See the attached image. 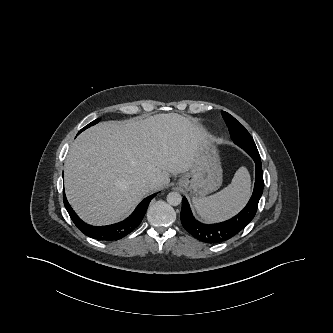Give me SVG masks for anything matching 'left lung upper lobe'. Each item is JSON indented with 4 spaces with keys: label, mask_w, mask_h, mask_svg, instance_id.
Instances as JSON below:
<instances>
[{
    "label": "left lung upper lobe",
    "mask_w": 333,
    "mask_h": 333,
    "mask_svg": "<svg viewBox=\"0 0 333 333\" xmlns=\"http://www.w3.org/2000/svg\"><path fill=\"white\" fill-rule=\"evenodd\" d=\"M226 125L229 128V132L232 140L235 144L240 146L246 152L253 151L258 152L255 142L249 132L242 126L232 115L222 111L221 112Z\"/></svg>",
    "instance_id": "obj_1"
}]
</instances>
